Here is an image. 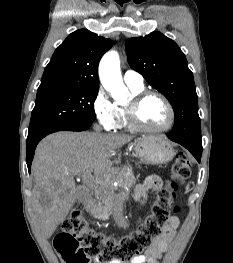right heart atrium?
Here are the masks:
<instances>
[{
  "label": "right heart atrium",
  "mask_w": 233,
  "mask_h": 263,
  "mask_svg": "<svg viewBox=\"0 0 233 263\" xmlns=\"http://www.w3.org/2000/svg\"><path fill=\"white\" fill-rule=\"evenodd\" d=\"M93 111L104 130L114 131L118 128L120 117L116 106L101 86L98 87L93 99Z\"/></svg>",
  "instance_id": "1"
}]
</instances>
